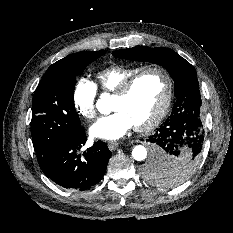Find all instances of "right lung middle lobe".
<instances>
[{"label":"right lung middle lobe","mask_w":233,"mask_h":233,"mask_svg":"<svg viewBox=\"0 0 233 233\" xmlns=\"http://www.w3.org/2000/svg\"><path fill=\"white\" fill-rule=\"evenodd\" d=\"M105 50L81 51L56 69H47L32 103L31 135L39 166L44 167L64 140L81 129L75 110L76 76Z\"/></svg>","instance_id":"right-lung-middle-lobe-1"}]
</instances>
